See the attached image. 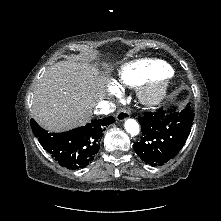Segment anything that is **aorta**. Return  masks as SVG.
<instances>
[{
  "label": "aorta",
  "mask_w": 221,
  "mask_h": 221,
  "mask_svg": "<svg viewBox=\"0 0 221 221\" xmlns=\"http://www.w3.org/2000/svg\"><path fill=\"white\" fill-rule=\"evenodd\" d=\"M125 130L132 136H136L139 133V124L134 119H127L124 124Z\"/></svg>",
  "instance_id": "1"
}]
</instances>
